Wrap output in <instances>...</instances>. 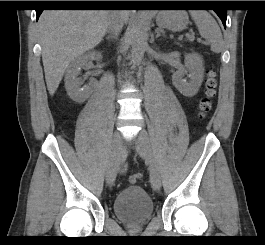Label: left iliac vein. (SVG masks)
I'll list each match as a JSON object with an SVG mask.
<instances>
[{
	"mask_svg": "<svg viewBox=\"0 0 265 245\" xmlns=\"http://www.w3.org/2000/svg\"><path fill=\"white\" fill-rule=\"evenodd\" d=\"M135 147L139 156L150 166V182L155 191L161 189V176L157 160L154 157L148 133L142 129L134 135Z\"/></svg>",
	"mask_w": 265,
	"mask_h": 245,
	"instance_id": "4c4485c4",
	"label": "left iliac vein"
}]
</instances>
